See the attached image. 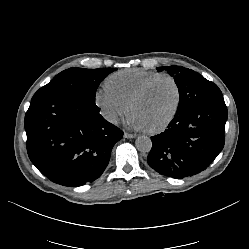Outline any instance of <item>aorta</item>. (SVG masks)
<instances>
[{"label":"aorta","mask_w":249,"mask_h":249,"mask_svg":"<svg viewBox=\"0 0 249 249\" xmlns=\"http://www.w3.org/2000/svg\"><path fill=\"white\" fill-rule=\"evenodd\" d=\"M136 148L143 153H148L152 148V141L147 136H140L136 139Z\"/></svg>","instance_id":"1"}]
</instances>
